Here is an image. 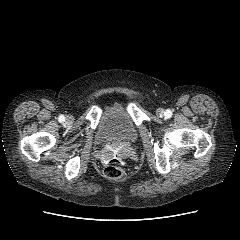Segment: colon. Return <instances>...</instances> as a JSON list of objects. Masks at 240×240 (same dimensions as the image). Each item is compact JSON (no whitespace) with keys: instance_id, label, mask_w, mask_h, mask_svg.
<instances>
[{"instance_id":"5ec220e1","label":"colon","mask_w":240,"mask_h":240,"mask_svg":"<svg viewBox=\"0 0 240 240\" xmlns=\"http://www.w3.org/2000/svg\"><path fill=\"white\" fill-rule=\"evenodd\" d=\"M103 173L105 177L111 180L122 178L125 172L121 158L117 155H113L109 158L104 166Z\"/></svg>"}]
</instances>
